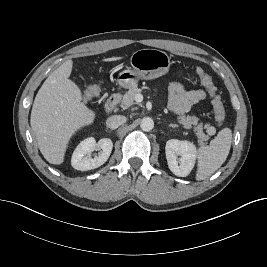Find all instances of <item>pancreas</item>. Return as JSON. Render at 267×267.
Wrapping results in <instances>:
<instances>
[{
	"label": "pancreas",
	"mask_w": 267,
	"mask_h": 267,
	"mask_svg": "<svg viewBox=\"0 0 267 267\" xmlns=\"http://www.w3.org/2000/svg\"><path fill=\"white\" fill-rule=\"evenodd\" d=\"M141 90L137 85L132 86L127 93L121 96L120 103L123 109H127L131 105L135 104V97L139 94ZM177 121L181 124L185 129H190L193 127V131L198 139V143L202 144L206 142L209 137L203 132V129H208L210 124L199 123V118L196 116L189 115H181L177 117Z\"/></svg>",
	"instance_id": "1"
}]
</instances>
